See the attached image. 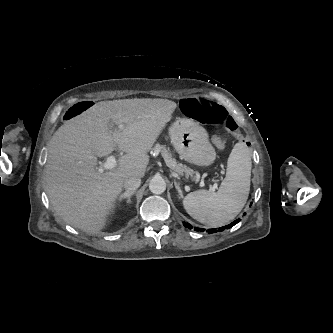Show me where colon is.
I'll return each instance as SVG.
<instances>
[{"instance_id":"obj_1","label":"colon","mask_w":333,"mask_h":333,"mask_svg":"<svg viewBox=\"0 0 333 333\" xmlns=\"http://www.w3.org/2000/svg\"><path fill=\"white\" fill-rule=\"evenodd\" d=\"M94 106L93 101L79 102L67 110L64 119L69 121L83 113L87 108ZM181 108L189 117L211 126L226 129L234 138H244L242 128L236 124L225 109L211 100L200 97L187 98L182 101Z\"/></svg>"}]
</instances>
